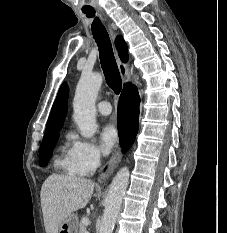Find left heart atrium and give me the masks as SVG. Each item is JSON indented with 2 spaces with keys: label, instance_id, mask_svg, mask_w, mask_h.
Masks as SVG:
<instances>
[{
  "label": "left heart atrium",
  "instance_id": "obj_1",
  "mask_svg": "<svg viewBox=\"0 0 227 233\" xmlns=\"http://www.w3.org/2000/svg\"><path fill=\"white\" fill-rule=\"evenodd\" d=\"M102 147L105 153H109L117 144L119 134L114 124H106L100 134Z\"/></svg>",
  "mask_w": 227,
  "mask_h": 233
}]
</instances>
